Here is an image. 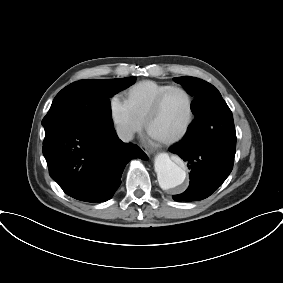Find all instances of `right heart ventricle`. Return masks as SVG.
<instances>
[{
  "instance_id": "1",
  "label": "right heart ventricle",
  "mask_w": 283,
  "mask_h": 283,
  "mask_svg": "<svg viewBox=\"0 0 283 283\" xmlns=\"http://www.w3.org/2000/svg\"><path fill=\"white\" fill-rule=\"evenodd\" d=\"M169 86L171 85L154 80H143L127 89L124 93V100L134 116L139 121L144 122L157 96Z\"/></svg>"
}]
</instances>
